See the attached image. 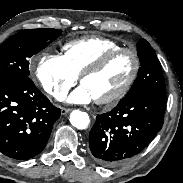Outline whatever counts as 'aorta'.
I'll return each mask as SVG.
<instances>
[{"mask_svg": "<svg viewBox=\"0 0 183 183\" xmlns=\"http://www.w3.org/2000/svg\"><path fill=\"white\" fill-rule=\"evenodd\" d=\"M70 123L79 130L86 129L90 123V118L86 112L74 110L70 114Z\"/></svg>", "mask_w": 183, "mask_h": 183, "instance_id": "aorta-1", "label": "aorta"}]
</instances>
